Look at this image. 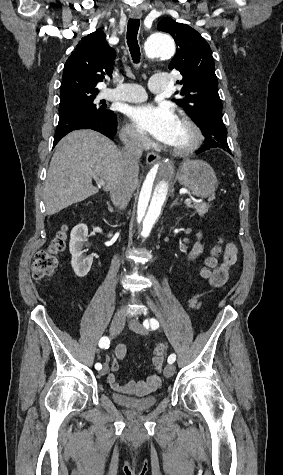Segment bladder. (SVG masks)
I'll list each match as a JSON object with an SVG mask.
<instances>
[{
	"label": "bladder",
	"instance_id": "obj_1",
	"mask_svg": "<svg viewBox=\"0 0 283 475\" xmlns=\"http://www.w3.org/2000/svg\"><path fill=\"white\" fill-rule=\"evenodd\" d=\"M112 400L127 410L145 412L157 405L159 396L155 394L153 396L145 397H128L119 393H114L112 395Z\"/></svg>",
	"mask_w": 283,
	"mask_h": 475
}]
</instances>
